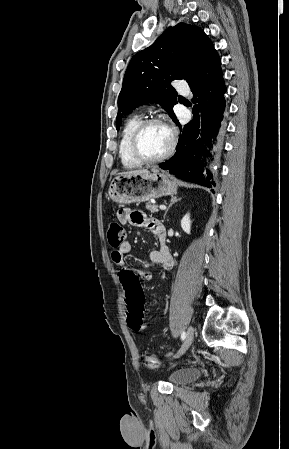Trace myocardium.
Returning <instances> with one entry per match:
<instances>
[{"label": "myocardium", "mask_w": 289, "mask_h": 449, "mask_svg": "<svg viewBox=\"0 0 289 449\" xmlns=\"http://www.w3.org/2000/svg\"><path fill=\"white\" fill-rule=\"evenodd\" d=\"M162 124L170 133V144L168 149L165 153H163L161 156L156 158H147L143 156L139 149V140L142 132L145 130L146 127H148L151 124ZM177 145V132L175 128L172 126V124L168 121L167 118H165L162 115H154L151 117H148L146 119L141 120V122L138 124V126L135 128L132 137H131V152L134 158L139 161L140 163L145 164H153V163H159L167 158H169L175 151Z\"/></svg>", "instance_id": "1"}]
</instances>
